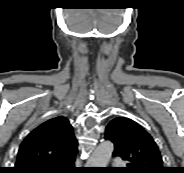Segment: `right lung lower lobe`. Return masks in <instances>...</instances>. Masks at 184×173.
I'll use <instances>...</instances> for the list:
<instances>
[{
    "instance_id": "right-lung-lower-lobe-1",
    "label": "right lung lower lobe",
    "mask_w": 184,
    "mask_h": 173,
    "mask_svg": "<svg viewBox=\"0 0 184 173\" xmlns=\"http://www.w3.org/2000/svg\"><path fill=\"white\" fill-rule=\"evenodd\" d=\"M75 157L61 162L55 167H52L45 171H37L33 173H81L82 171L74 166Z\"/></svg>"
}]
</instances>
